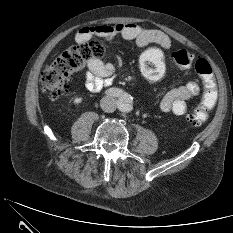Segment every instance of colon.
<instances>
[{
	"instance_id": "obj_1",
	"label": "colon",
	"mask_w": 233,
	"mask_h": 233,
	"mask_svg": "<svg viewBox=\"0 0 233 233\" xmlns=\"http://www.w3.org/2000/svg\"><path fill=\"white\" fill-rule=\"evenodd\" d=\"M103 54L104 47L97 41L78 43L59 52L41 72L42 90L54 97L66 94L72 76L79 72L88 60ZM171 62L178 69L185 70L192 64V55L186 50H178L171 55ZM165 66V55L159 47H148L141 54L140 69L149 81L160 80L165 73ZM194 69L202 78L205 91L200 105L188 115V120L193 125H201L208 120L209 111L217 100V91L212 67L206 59H196Z\"/></svg>"
}]
</instances>
